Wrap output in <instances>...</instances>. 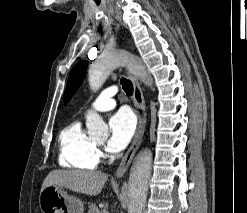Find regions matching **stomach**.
<instances>
[{
	"label": "stomach",
	"mask_w": 247,
	"mask_h": 213,
	"mask_svg": "<svg viewBox=\"0 0 247 213\" xmlns=\"http://www.w3.org/2000/svg\"><path fill=\"white\" fill-rule=\"evenodd\" d=\"M39 207L42 213H84L82 201L58 186H48L40 191Z\"/></svg>",
	"instance_id": "1"
}]
</instances>
